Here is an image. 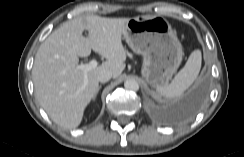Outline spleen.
<instances>
[{
  "label": "spleen",
  "mask_w": 244,
  "mask_h": 157,
  "mask_svg": "<svg viewBox=\"0 0 244 157\" xmlns=\"http://www.w3.org/2000/svg\"><path fill=\"white\" fill-rule=\"evenodd\" d=\"M201 51L194 50L185 66L177 73L170 84L158 87L157 92L167 98H177L194 82L201 68Z\"/></svg>",
  "instance_id": "1"
}]
</instances>
